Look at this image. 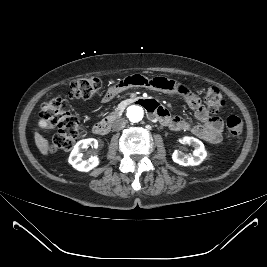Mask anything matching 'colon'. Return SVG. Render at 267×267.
Segmentation results:
<instances>
[{
    "instance_id": "1",
    "label": "colon",
    "mask_w": 267,
    "mask_h": 267,
    "mask_svg": "<svg viewBox=\"0 0 267 267\" xmlns=\"http://www.w3.org/2000/svg\"><path fill=\"white\" fill-rule=\"evenodd\" d=\"M102 88V81L97 77H86L73 80L68 85V97L87 100L94 97ZM204 101L211 112H218L225 104L220 90L216 87L204 89ZM40 117L57 128L53 137L51 150L61 152L70 150L81 134V124L78 117L68 108L67 102L60 96L52 97L41 105ZM229 133L240 138L243 131V120L237 114L226 119Z\"/></svg>"
}]
</instances>
